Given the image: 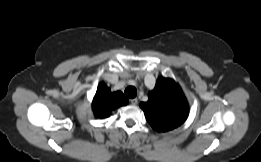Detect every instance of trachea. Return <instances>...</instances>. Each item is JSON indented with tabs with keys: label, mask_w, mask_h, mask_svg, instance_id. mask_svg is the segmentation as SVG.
I'll return each mask as SVG.
<instances>
[{
	"label": "trachea",
	"mask_w": 261,
	"mask_h": 162,
	"mask_svg": "<svg viewBox=\"0 0 261 162\" xmlns=\"http://www.w3.org/2000/svg\"><path fill=\"white\" fill-rule=\"evenodd\" d=\"M125 95L128 97V98H135L136 95H137V90L135 87L133 86H129L125 89Z\"/></svg>",
	"instance_id": "obj_1"
}]
</instances>
